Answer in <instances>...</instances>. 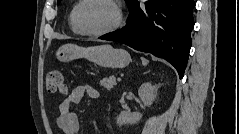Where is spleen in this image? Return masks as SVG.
I'll list each match as a JSON object with an SVG mask.
<instances>
[{"label": "spleen", "instance_id": "obj_1", "mask_svg": "<svg viewBox=\"0 0 239 134\" xmlns=\"http://www.w3.org/2000/svg\"><path fill=\"white\" fill-rule=\"evenodd\" d=\"M143 65H147L148 61L145 58H142Z\"/></svg>", "mask_w": 239, "mask_h": 134}]
</instances>
